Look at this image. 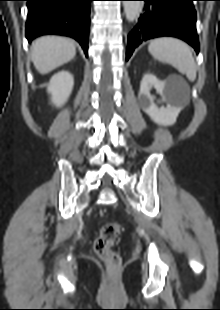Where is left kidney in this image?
<instances>
[{"label":"left kidney","mask_w":220,"mask_h":310,"mask_svg":"<svg viewBox=\"0 0 220 310\" xmlns=\"http://www.w3.org/2000/svg\"><path fill=\"white\" fill-rule=\"evenodd\" d=\"M152 87H154L157 93L163 98L165 97L166 82L158 80L156 76L152 74H145L142 78L139 91V100L142 109L155 123L163 126L173 125L178 117L179 109L171 106L159 108L154 103V97L150 94Z\"/></svg>","instance_id":"left-kidney-1"}]
</instances>
